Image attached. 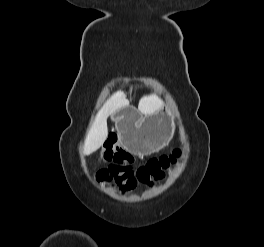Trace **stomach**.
<instances>
[{
	"mask_svg": "<svg viewBox=\"0 0 264 247\" xmlns=\"http://www.w3.org/2000/svg\"><path fill=\"white\" fill-rule=\"evenodd\" d=\"M112 116L119 127L123 145L133 153L148 155L158 152L171 139L173 122L167 111L139 118L130 109L122 108Z\"/></svg>",
	"mask_w": 264,
	"mask_h": 247,
	"instance_id": "stomach-1",
	"label": "stomach"
}]
</instances>
